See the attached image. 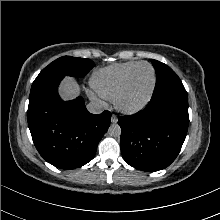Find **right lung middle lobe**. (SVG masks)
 Returning a JSON list of instances; mask_svg holds the SVG:
<instances>
[{"mask_svg": "<svg viewBox=\"0 0 220 220\" xmlns=\"http://www.w3.org/2000/svg\"><path fill=\"white\" fill-rule=\"evenodd\" d=\"M94 66V62L90 59L63 56L44 68L34 82L56 75L84 77Z\"/></svg>", "mask_w": 220, "mask_h": 220, "instance_id": "obj_1", "label": "right lung middle lobe"}]
</instances>
